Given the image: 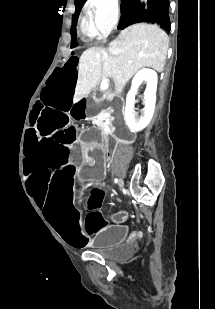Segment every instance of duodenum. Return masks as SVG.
Instances as JSON below:
<instances>
[{
    "mask_svg": "<svg viewBox=\"0 0 215 309\" xmlns=\"http://www.w3.org/2000/svg\"><path fill=\"white\" fill-rule=\"evenodd\" d=\"M100 127L105 129L108 134L112 135L114 134L113 128L110 126L107 120H102L100 123Z\"/></svg>",
    "mask_w": 215,
    "mask_h": 309,
    "instance_id": "duodenum-1",
    "label": "duodenum"
}]
</instances>
